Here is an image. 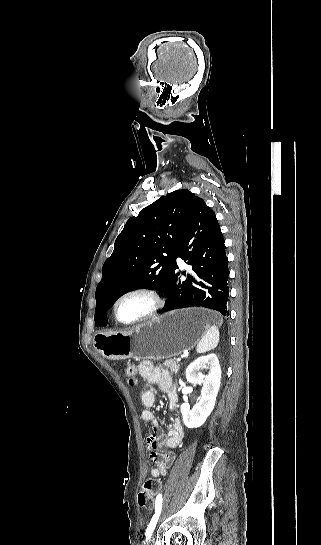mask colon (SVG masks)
<instances>
[{
	"instance_id": "colon-1",
	"label": "colon",
	"mask_w": 321,
	"mask_h": 545,
	"mask_svg": "<svg viewBox=\"0 0 321 545\" xmlns=\"http://www.w3.org/2000/svg\"><path fill=\"white\" fill-rule=\"evenodd\" d=\"M122 372L130 385L135 384L136 370L132 364H127L122 368ZM161 490V483L156 479L146 480L138 494V503L141 507L151 509L155 503L158 493Z\"/></svg>"
}]
</instances>
